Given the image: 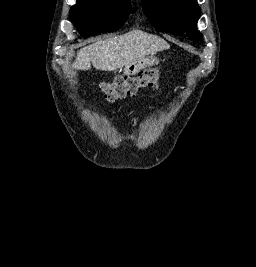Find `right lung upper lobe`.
<instances>
[{
  "instance_id": "right-lung-upper-lobe-1",
  "label": "right lung upper lobe",
  "mask_w": 256,
  "mask_h": 267,
  "mask_svg": "<svg viewBox=\"0 0 256 267\" xmlns=\"http://www.w3.org/2000/svg\"><path fill=\"white\" fill-rule=\"evenodd\" d=\"M78 1H82V0H78ZM116 1H124V2H129V0H116Z\"/></svg>"
}]
</instances>
